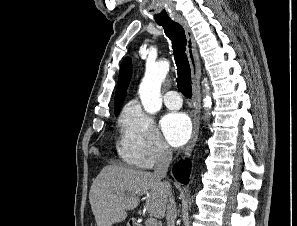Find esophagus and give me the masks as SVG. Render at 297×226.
Masks as SVG:
<instances>
[{"mask_svg":"<svg viewBox=\"0 0 297 226\" xmlns=\"http://www.w3.org/2000/svg\"><path fill=\"white\" fill-rule=\"evenodd\" d=\"M175 21L179 23L186 35V54L190 63L191 73H192V100H193V133L190 141L188 142L185 155L189 156L196 144L199 127H200V112H201V94H200V77H201V67L199 54L196 47V42L194 40L193 33L183 17H176Z\"/></svg>","mask_w":297,"mask_h":226,"instance_id":"obj_1","label":"esophagus"}]
</instances>
